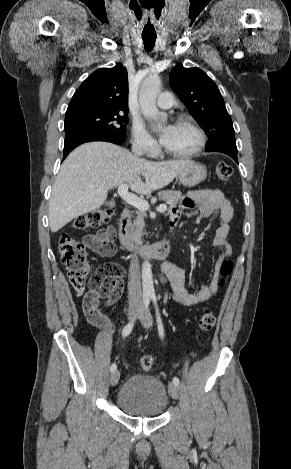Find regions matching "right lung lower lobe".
Returning a JSON list of instances; mask_svg holds the SVG:
<instances>
[{
  "mask_svg": "<svg viewBox=\"0 0 291 469\" xmlns=\"http://www.w3.org/2000/svg\"><path fill=\"white\" fill-rule=\"evenodd\" d=\"M126 139V134H107L100 132H75L70 133L65 136L64 143V157L66 156L78 145L91 142V141H107L114 144H122Z\"/></svg>",
  "mask_w": 291,
  "mask_h": 469,
  "instance_id": "right-lung-lower-lobe-1",
  "label": "right lung lower lobe"
}]
</instances>
